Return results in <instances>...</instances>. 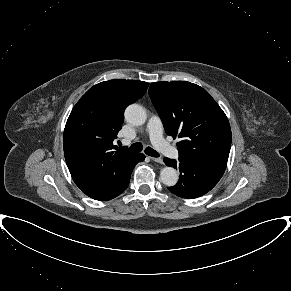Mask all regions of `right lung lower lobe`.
<instances>
[{
    "label": "right lung lower lobe",
    "instance_id": "1",
    "mask_svg": "<svg viewBox=\"0 0 291 291\" xmlns=\"http://www.w3.org/2000/svg\"><path fill=\"white\" fill-rule=\"evenodd\" d=\"M144 159H145V156L142 153H136V155L133 157L132 161L130 162L129 168L127 169L126 173L124 174L123 178L121 179L119 184L116 186V188L113 191L109 192L108 194L96 200L107 201V200L117 197L124 190H126L129 185L131 173L133 171L134 166L138 162H142Z\"/></svg>",
    "mask_w": 291,
    "mask_h": 291
}]
</instances>
